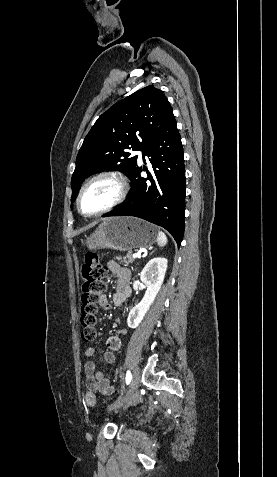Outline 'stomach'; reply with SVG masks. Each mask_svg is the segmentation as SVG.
<instances>
[{
    "label": "stomach",
    "mask_w": 277,
    "mask_h": 477,
    "mask_svg": "<svg viewBox=\"0 0 277 477\" xmlns=\"http://www.w3.org/2000/svg\"><path fill=\"white\" fill-rule=\"evenodd\" d=\"M157 228L135 217H111L103 220L85 244L91 249L127 251L148 248L157 240Z\"/></svg>",
    "instance_id": "1"
}]
</instances>
